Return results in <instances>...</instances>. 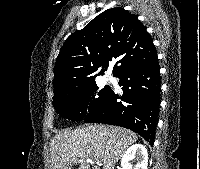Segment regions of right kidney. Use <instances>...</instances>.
<instances>
[{
    "label": "right kidney",
    "mask_w": 200,
    "mask_h": 169,
    "mask_svg": "<svg viewBox=\"0 0 200 169\" xmlns=\"http://www.w3.org/2000/svg\"><path fill=\"white\" fill-rule=\"evenodd\" d=\"M132 160L136 162L134 167L130 163ZM148 153L147 149L142 144L130 146L121 159V169H147Z\"/></svg>",
    "instance_id": "1"
}]
</instances>
